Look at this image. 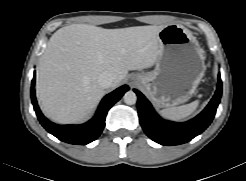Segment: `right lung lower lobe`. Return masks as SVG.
<instances>
[{
    "label": "right lung lower lobe",
    "mask_w": 246,
    "mask_h": 181,
    "mask_svg": "<svg viewBox=\"0 0 246 181\" xmlns=\"http://www.w3.org/2000/svg\"><path fill=\"white\" fill-rule=\"evenodd\" d=\"M35 76L31 84V99L36 115L42 126L59 140L70 144L86 145L97 139L105 127V118L108 110L116 103L126 91L127 85H123L106 95L101 101L95 116L82 125H56L44 117L40 111L35 97Z\"/></svg>",
    "instance_id": "1"
}]
</instances>
